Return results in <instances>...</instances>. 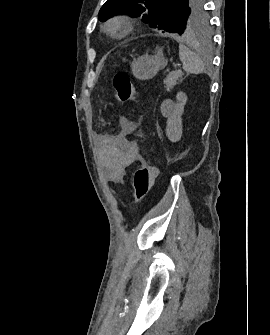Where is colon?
Returning <instances> with one entry per match:
<instances>
[{"label":"colon","instance_id":"colon-1","mask_svg":"<svg viewBox=\"0 0 270 335\" xmlns=\"http://www.w3.org/2000/svg\"><path fill=\"white\" fill-rule=\"evenodd\" d=\"M112 84L117 98L122 102L131 101L135 97L136 88L131 77L126 71L115 73ZM157 171L150 164L144 163L133 173L134 194L137 201L141 202L154 186Z\"/></svg>","mask_w":270,"mask_h":335}]
</instances>
